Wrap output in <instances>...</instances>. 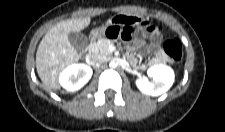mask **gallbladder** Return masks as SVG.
Segmentation results:
<instances>
[{
	"label": "gallbladder",
	"instance_id": "gallbladder-1",
	"mask_svg": "<svg viewBox=\"0 0 225 132\" xmlns=\"http://www.w3.org/2000/svg\"><path fill=\"white\" fill-rule=\"evenodd\" d=\"M68 39L72 46L78 51H83L88 45L87 37L81 32H70L68 34Z\"/></svg>",
	"mask_w": 225,
	"mask_h": 132
}]
</instances>
